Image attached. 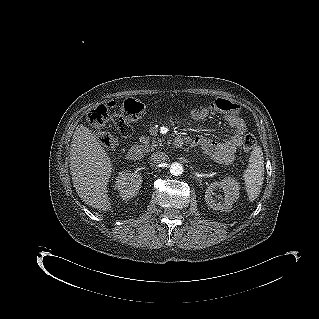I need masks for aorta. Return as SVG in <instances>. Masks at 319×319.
I'll return each instance as SVG.
<instances>
[{
    "instance_id": "aorta-1",
    "label": "aorta",
    "mask_w": 319,
    "mask_h": 319,
    "mask_svg": "<svg viewBox=\"0 0 319 319\" xmlns=\"http://www.w3.org/2000/svg\"><path fill=\"white\" fill-rule=\"evenodd\" d=\"M170 173L174 176H179L183 173V166L180 163L174 162L170 165Z\"/></svg>"
}]
</instances>
